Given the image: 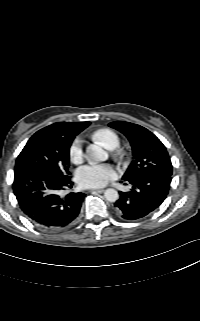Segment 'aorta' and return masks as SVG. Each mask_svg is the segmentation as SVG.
Here are the masks:
<instances>
[{"instance_id":"1","label":"aorta","mask_w":200,"mask_h":321,"mask_svg":"<svg viewBox=\"0 0 200 321\" xmlns=\"http://www.w3.org/2000/svg\"><path fill=\"white\" fill-rule=\"evenodd\" d=\"M87 158L92 162H102L107 160L108 154L100 146L90 145L87 147ZM104 197L108 202H116L119 199V194L115 189L109 188L105 190Z\"/></svg>"}]
</instances>
